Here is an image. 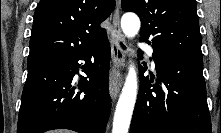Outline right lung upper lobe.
Instances as JSON below:
<instances>
[{"label":"right lung upper lobe","mask_w":221,"mask_h":133,"mask_svg":"<svg viewBox=\"0 0 221 133\" xmlns=\"http://www.w3.org/2000/svg\"><path fill=\"white\" fill-rule=\"evenodd\" d=\"M114 0H41L34 13L28 64L81 53L106 36L100 24Z\"/></svg>","instance_id":"right-lung-upper-lobe-1"}]
</instances>
